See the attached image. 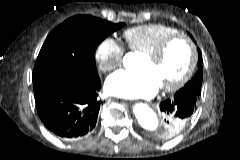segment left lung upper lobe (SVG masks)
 Segmentation results:
<instances>
[{
  "instance_id": "left-lung-upper-lobe-1",
  "label": "left lung upper lobe",
  "mask_w": 240,
  "mask_h": 160,
  "mask_svg": "<svg viewBox=\"0 0 240 160\" xmlns=\"http://www.w3.org/2000/svg\"><path fill=\"white\" fill-rule=\"evenodd\" d=\"M201 65H202V54L199 51L198 71L196 72L194 77L191 79V81L187 82V84L182 89H180L178 92H181V93H192V94H194V95L199 97L201 84H202ZM188 120L187 121H185V120H176L175 124H176V126H181L182 127L184 124H186L188 122ZM166 126H167V124L165 122L164 126L157 132V134H156L157 138H159V139H169V138L175 136L176 134H178L180 132V131H178L174 135H169L167 133Z\"/></svg>"
}]
</instances>
